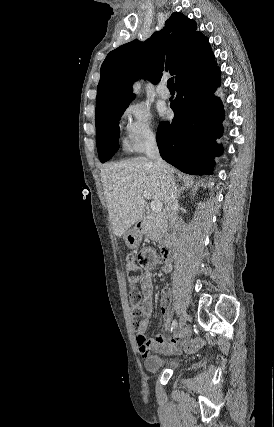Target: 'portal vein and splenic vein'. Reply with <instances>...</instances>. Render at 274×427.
I'll return each instance as SVG.
<instances>
[{"label":"portal vein and splenic vein","mask_w":274,"mask_h":427,"mask_svg":"<svg viewBox=\"0 0 274 427\" xmlns=\"http://www.w3.org/2000/svg\"><path fill=\"white\" fill-rule=\"evenodd\" d=\"M144 198H147V200H150V194L148 192H142ZM162 202H151V210L154 212V214H159V212H162Z\"/></svg>","instance_id":"1"}]
</instances>
